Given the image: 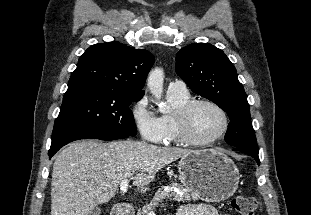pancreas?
<instances>
[{
	"mask_svg": "<svg viewBox=\"0 0 311 215\" xmlns=\"http://www.w3.org/2000/svg\"><path fill=\"white\" fill-rule=\"evenodd\" d=\"M165 187L160 188L156 193L154 198L149 204H146L142 209L138 210L137 215H148V213L162 200L173 197V200L177 202H190L192 199L195 200L197 197L190 195L189 191L185 189L182 185L176 183L168 187V190H164ZM173 189H177L180 193L173 192Z\"/></svg>",
	"mask_w": 311,
	"mask_h": 215,
	"instance_id": "1",
	"label": "pancreas"
}]
</instances>
